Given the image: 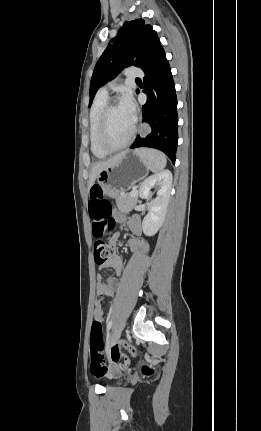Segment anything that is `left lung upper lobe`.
Segmentation results:
<instances>
[{
	"label": "left lung upper lobe",
	"instance_id": "5c2ea615",
	"mask_svg": "<svg viewBox=\"0 0 261 431\" xmlns=\"http://www.w3.org/2000/svg\"><path fill=\"white\" fill-rule=\"evenodd\" d=\"M160 48V40L152 26L146 25L142 19L126 21L94 68L89 107L102 85L115 78L125 67L134 65L144 69Z\"/></svg>",
	"mask_w": 261,
	"mask_h": 431
}]
</instances>
